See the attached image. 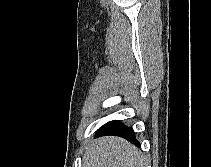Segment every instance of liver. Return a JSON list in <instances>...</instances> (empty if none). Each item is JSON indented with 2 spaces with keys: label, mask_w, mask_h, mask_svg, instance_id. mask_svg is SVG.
I'll return each mask as SVG.
<instances>
[{
  "label": "liver",
  "mask_w": 211,
  "mask_h": 167,
  "mask_svg": "<svg viewBox=\"0 0 211 167\" xmlns=\"http://www.w3.org/2000/svg\"><path fill=\"white\" fill-rule=\"evenodd\" d=\"M83 167H147L144 155L119 137H102L87 148Z\"/></svg>",
  "instance_id": "6515ba94"
}]
</instances>
